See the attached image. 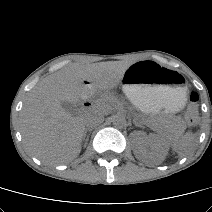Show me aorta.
<instances>
[{"mask_svg":"<svg viewBox=\"0 0 212 212\" xmlns=\"http://www.w3.org/2000/svg\"><path fill=\"white\" fill-rule=\"evenodd\" d=\"M113 125L116 128H123L126 125V119L122 115H116L113 118Z\"/></svg>","mask_w":212,"mask_h":212,"instance_id":"obj_1","label":"aorta"}]
</instances>
